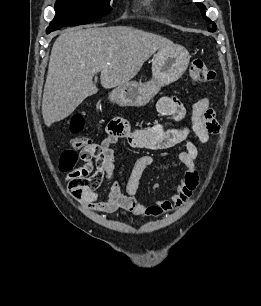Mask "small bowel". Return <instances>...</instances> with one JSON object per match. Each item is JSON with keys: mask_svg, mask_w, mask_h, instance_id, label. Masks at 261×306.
<instances>
[{"mask_svg": "<svg viewBox=\"0 0 261 306\" xmlns=\"http://www.w3.org/2000/svg\"><path fill=\"white\" fill-rule=\"evenodd\" d=\"M157 110L161 115L172 117L177 121H183L187 115L184 104L173 96L160 98ZM218 132L219 125L215 112L206 97L198 99L192 105L189 124H182L175 128H166L163 124H155L148 128H133L126 120H112L107 127V136L100 144L105 154L102 165L95 167L93 160L83 157L81 153V158L86 163L78 170L94 186L83 190L80 199L87 208L99 214H111L121 210L123 214L135 216H158L181 209L189 201L198 185L196 161L199 157V150L190 135L193 134L200 143L206 144L210 136ZM120 139H125L134 149L161 150L183 143L184 150L180 151L177 157L185 166L186 172L169 199H160L151 206H146L137 199L136 192L140 179L144 171L154 162L152 156L144 155L136 161L130 175L126 178L125 192L121 184L115 181L110 186L105 199L100 200L105 192L104 181L110 180L114 174L113 145Z\"/></svg>", "mask_w": 261, "mask_h": 306, "instance_id": "1", "label": "small bowel"}]
</instances>
